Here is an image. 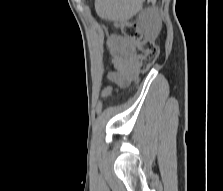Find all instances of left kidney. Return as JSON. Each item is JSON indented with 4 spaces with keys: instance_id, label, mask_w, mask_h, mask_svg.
<instances>
[{
    "instance_id": "5707ae66",
    "label": "left kidney",
    "mask_w": 223,
    "mask_h": 191,
    "mask_svg": "<svg viewBox=\"0 0 223 191\" xmlns=\"http://www.w3.org/2000/svg\"><path fill=\"white\" fill-rule=\"evenodd\" d=\"M139 22L148 38L155 39L158 36L161 29V19L155 9L145 10L141 14Z\"/></svg>"
}]
</instances>
